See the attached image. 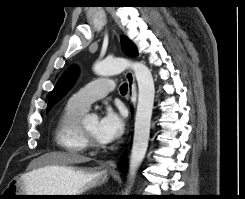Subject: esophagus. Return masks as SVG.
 <instances>
[{"mask_svg": "<svg viewBox=\"0 0 245 199\" xmlns=\"http://www.w3.org/2000/svg\"><path fill=\"white\" fill-rule=\"evenodd\" d=\"M125 78L127 80L128 83V99L131 102V104L134 106L136 103V99H137V91H136V82H135V77L134 74L132 73V71L128 70L125 73ZM116 167V163L114 160H108L105 162V164L103 165V168L105 170H113Z\"/></svg>", "mask_w": 245, "mask_h": 199, "instance_id": "1", "label": "esophagus"}]
</instances>
